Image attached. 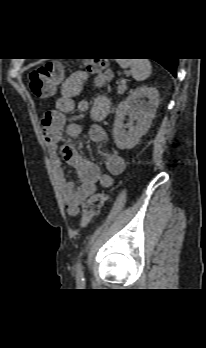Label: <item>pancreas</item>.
<instances>
[{"label": "pancreas", "mask_w": 206, "mask_h": 348, "mask_svg": "<svg viewBox=\"0 0 206 348\" xmlns=\"http://www.w3.org/2000/svg\"><path fill=\"white\" fill-rule=\"evenodd\" d=\"M126 90H127L126 82L125 83L120 82L117 87V93L119 95H122Z\"/></svg>", "instance_id": "1"}]
</instances>
